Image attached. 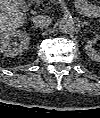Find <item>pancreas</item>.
Segmentation results:
<instances>
[{"label":"pancreas","instance_id":"pancreas-1","mask_svg":"<svg viewBox=\"0 0 100 118\" xmlns=\"http://www.w3.org/2000/svg\"><path fill=\"white\" fill-rule=\"evenodd\" d=\"M45 0H36V2H37V4L39 5V4H41V3H43ZM46 8H49L48 6H46Z\"/></svg>","mask_w":100,"mask_h":118}]
</instances>
